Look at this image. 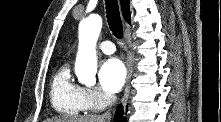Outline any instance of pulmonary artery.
Here are the masks:
<instances>
[{
  "label": "pulmonary artery",
  "mask_w": 221,
  "mask_h": 122,
  "mask_svg": "<svg viewBox=\"0 0 221 122\" xmlns=\"http://www.w3.org/2000/svg\"><path fill=\"white\" fill-rule=\"evenodd\" d=\"M99 49L105 53V54H112L115 52V46L114 44L109 41V40H106V41H102L100 44H99Z\"/></svg>",
  "instance_id": "pulmonary-artery-1"
}]
</instances>
